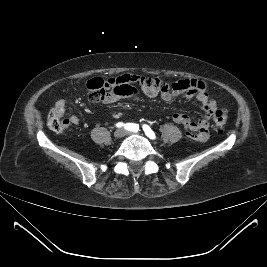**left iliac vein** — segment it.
Here are the masks:
<instances>
[{"label": "left iliac vein", "mask_w": 267, "mask_h": 267, "mask_svg": "<svg viewBox=\"0 0 267 267\" xmlns=\"http://www.w3.org/2000/svg\"><path fill=\"white\" fill-rule=\"evenodd\" d=\"M125 134H126V135H132V134H140V133H132V132H130V131H126Z\"/></svg>", "instance_id": "4c4485c4"}]
</instances>
